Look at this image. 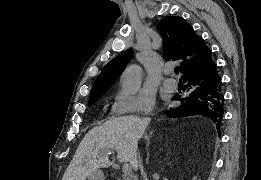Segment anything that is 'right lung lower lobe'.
<instances>
[{"label":"right lung lower lobe","mask_w":261,"mask_h":180,"mask_svg":"<svg viewBox=\"0 0 261 180\" xmlns=\"http://www.w3.org/2000/svg\"><path fill=\"white\" fill-rule=\"evenodd\" d=\"M183 80L188 83V91L184 97L174 96L173 100L180 99L181 104L175 109H169L167 116L180 118L205 115L216 124L219 133L224 112V96L216 64L211 61L193 68L183 75Z\"/></svg>","instance_id":"98d812e1"}]
</instances>
